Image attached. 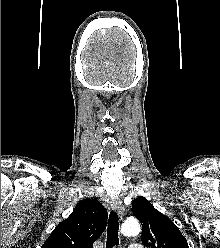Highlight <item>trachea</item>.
<instances>
[{
	"instance_id": "trachea-1",
	"label": "trachea",
	"mask_w": 220,
	"mask_h": 248,
	"mask_svg": "<svg viewBox=\"0 0 220 248\" xmlns=\"http://www.w3.org/2000/svg\"><path fill=\"white\" fill-rule=\"evenodd\" d=\"M118 231L119 217L116 212H110L107 228L106 248H113L115 245H119Z\"/></svg>"
}]
</instances>
